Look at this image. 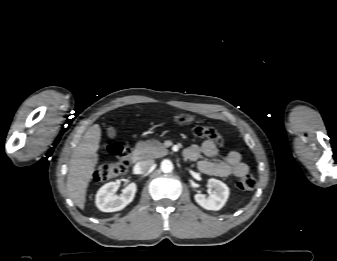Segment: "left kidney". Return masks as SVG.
Returning <instances> with one entry per match:
<instances>
[{"label": "left kidney", "mask_w": 337, "mask_h": 261, "mask_svg": "<svg viewBox=\"0 0 337 261\" xmlns=\"http://www.w3.org/2000/svg\"><path fill=\"white\" fill-rule=\"evenodd\" d=\"M208 186L214 189L213 194L206 198L203 194H195V201L206 210H220L229 197V188L220 180L211 178L208 180Z\"/></svg>", "instance_id": "left-kidney-1"}]
</instances>
